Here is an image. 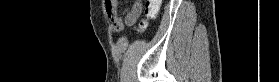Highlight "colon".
I'll return each mask as SVG.
<instances>
[{
    "label": "colon",
    "instance_id": "1",
    "mask_svg": "<svg viewBox=\"0 0 279 82\" xmlns=\"http://www.w3.org/2000/svg\"><path fill=\"white\" fill-rule=\"evenodd\" d=\"M161 0H147L146 1V18L141 20L136 26V31L142 32L146 29L148 20L153 19L161 5ZM138 11V10H137Z\"/></svg>",
    "mask_w": 279,
    "mask_h": 82
}]
</instances>
